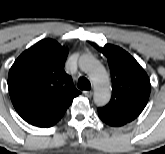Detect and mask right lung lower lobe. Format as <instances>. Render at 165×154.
Masks as SVG:
<instances>
[{
	"label": "right lung lower lobe",
	"mask_w": 165,
	"mask_h": 154,
	"mask_svg": "<svg viewBox=\"0 0 165 154\" xmlns=\"http://www.w3.org/2000/svg\"><path fill=\"white\" fill-rule=\"evenodd\" d=\"M72 101L73 99H67L57 106L25 121L37 127H51L63 117L66 109L71 105Z\"/></svg>",
	"instance_id": "obj_1"
}]
</instances>
